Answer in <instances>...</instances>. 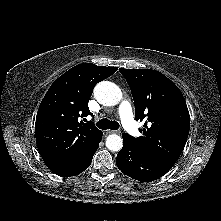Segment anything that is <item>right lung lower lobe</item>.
Listing matches in <instances>:
<instances>
[{
  "label": "right lung lower lobe",
  "mask_w": 221,
  "mask_h": 221,
  "mask_svg": "<svg viewBox=\"0 0 221 221\" xmlns=\"http://www.w3.org/2000/svg\"><path fill=\"white\" fill-rule=\"evenodd\" d=\"M102 133L100 136L88 147L83 154H81L75 161L69 165L53 171L56 175L61 177L75 176L83 172L91 164L92 158L96 150L98 149L99 142L101 141Z\"/></svg>",
  "instance_id": "right-lung-lower-lobe-1"
}]
</instances>
